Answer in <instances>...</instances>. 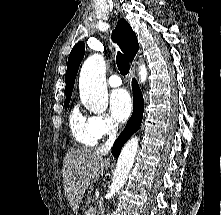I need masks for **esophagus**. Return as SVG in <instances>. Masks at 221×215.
I'll return each mask as SVG.
<instances>
[{
    "mask_svg": "<svg viewBox=\"0 0 221 215\" xmlns=\"http://www.w3.org/2000/svg\"><path fill=\"white\" fill-rule=\"evenodd\" d=\"M133 76H134V67L131 66L130 72H129V77H130V79L133 78Z\"/></svg>",
    "mask_w": 221,
    "mask_h": 215,
    "instance_id": "34e87169",
    "label": "esophagus"
}]
</instances>
